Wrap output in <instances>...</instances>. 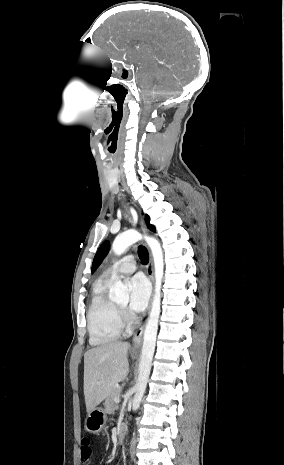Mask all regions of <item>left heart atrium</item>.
<instances>
[{"instance_id": "left-heart-atrium-1", "label": "left heart atrium", "mask_w": 284, "mask_h": 465, "mask_svg": "<svg viewBox=\"0 0 284 465\" xmlns=\"http://www.w3.org/2000/svg\"><path fill=\"white\" fill-rule=\"evenodd\" d=\"M130 300L128 312L132 316L141 313L147 306L150 296L149 283L143 275H135L129 281Z\"/></svg>"}]
</instances>
